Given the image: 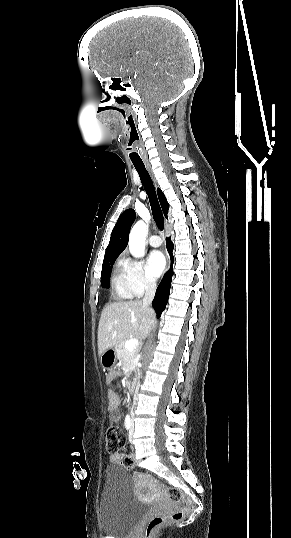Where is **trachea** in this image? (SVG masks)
I'll return each mask as SVG.
<instances>
[{
	"label": "trachea",
	"instance_id": "1",
	"mask_svg": "<svg viewBox=\"0 0 291 538\" xmlns=\"http://www.w3.org/2000/svg\"><path fill=\"white\" fill-rule=\"evenodd\" d=\"M134 167H135L136 171L138 172L140 180L142 182V185L144 186V189H145V191H146V193L148 195L154 221H155L156 225L158 226V228L160 230H163L164 229V218H163L162 211H161L158 199H157V195H156V192H155V188H154L152 179H151L148 171L146 170L144 164L134 163Z\"/></svg>",
	"mask_w": 291,
	"mask_h": 538
}]
</instances>
